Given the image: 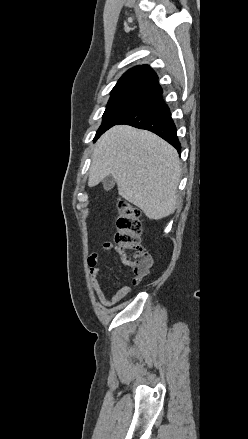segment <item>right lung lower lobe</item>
Returning <instances> with one entry per match:
<instances>
[{"label": "right lung lower lobe", "mask_w": 248, "mask_h": 439, "mask_svg": "<svg viewBox=\"0 0 248 439\" xmlns=\"http://www.w3.org/2000/svg\"><path fill=\"white\" fill-rule=\"evenodd\" d=\"M116 124H127L149 130L166 140L180 153L181 145L176 135V127L171 118L170 109L163 101L162 94L133 111Z\"/></svg>", "instance_id": "1"}]
</instances>
